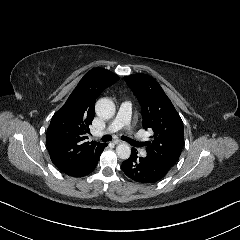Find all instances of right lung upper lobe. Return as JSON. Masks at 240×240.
Returning a JSON list of instances; mask_svg holds the SVG:
<instances>
[{
	"mask_svg": "<svg viewBox=\"0 0 240 240\" xmlns=\"http://www.w3.org/2000/svg\"><path fill=\"white\" fill-rule=\"evenodd\" d=\"M119 77L104 68L90 70L80 80L63 107L51 119L46 144L53 164L68 171L85 164L106 144L86 142L89 125L95 116V101Z\"/></svg>",
	"mask_w": 240,
	"mask_h": 240,
	"instance_id": "1",
	"label": "right lung upper lobe"
}]
</instances>
